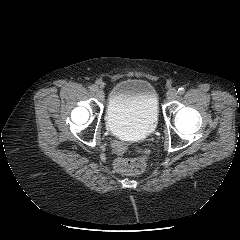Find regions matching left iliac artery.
<instances>
[{
  "label": "left iliac artery",
  "mask_w": 240,
  "mask_h": 240,
  "mask_svg": "<svg viewBox=\"0 0 240 240\" xmlns=\"http://www.w3.org/2000/svg\"><path fill=\"white\" fill-rule=\"evenodd\" d=\"M178 93H179L180 95H183V94L185 93V89H184L183 87L179 88V89H178Z\"/></svg>",
  "instance_id": "44dca946"
}]
</instances>
